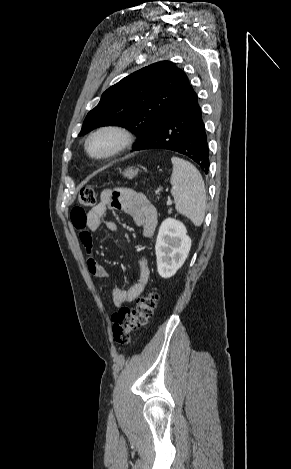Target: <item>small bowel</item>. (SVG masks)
Segmentation results:
<instances>
[{
	"label": "small bowel",
	"mask_w": 291,
	"mask_h": 469,
	"mask_svg": "<svg viewBox=\"0 0 291 469\" xmlns=\"http://www.w3.org/2000/svg\"><path fill=\"white\" fill-rule=\"evenodd\" d=\"M109 208L121 209L129 214L135 224L142 228L145 237L153 233L157 224L154 207L142 193L130 188L106 189L101 192L98 204L87 213L83 211L79 217L71 213L72 224L81 231V240L88 254V271L97 278H106L108 272L93 255V243L89 231H95L103 224L110 232L117 231L118 227L114 221L105 220ZM149 278L148 261L143 256L139 262L138 280L126 289L113 290L112 299L115 306L120 307L135 300L147 286Z\"/></svg>",
	"instance_id": "1"
}]
</instances>
